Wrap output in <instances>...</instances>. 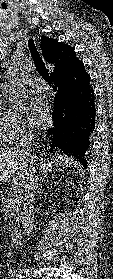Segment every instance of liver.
Wrapping results in <instances>:
<instances>
[{"instance_id": "6515ba94", "label": "liver", "mask_w": 113, "mask_h": 279, "mask_svg": "<svg viewBox=\"0 0 113 279\" xmlns=\"http://www.w3.org/2000/svg\"><path fill=\"white\" fill-rule=\"evenodd\" d=\"M31 160L17 150L0 149V182H14L25 185L27 174L31 171Z\"/></svg>"}]
</instances>
